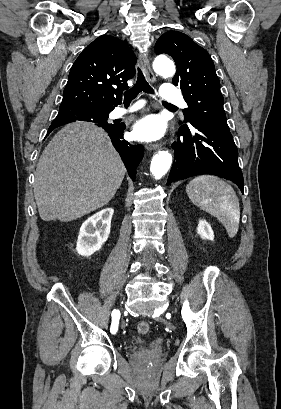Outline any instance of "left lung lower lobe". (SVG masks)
Instances as JSON below:
<instances>
[{
    "mask_svg": "<svg viewBox=\"0 0 281 409\" xmlns=\"http://www.w3.org/2000/svg\"><path fill=\"white\" fill-rule=\"evenodd\" d=\"M176 154L167 185L195 175L212 174L233 181L243 193L238 151L229 130L191 120L181 125L172 144Z\"/></svg>",
    "mask_w": 281,
    "mask_h": 409,
    "instance_id": "0a47b994",
    "label": "left lung lower lobe"
}]
</instances>
